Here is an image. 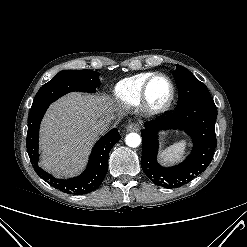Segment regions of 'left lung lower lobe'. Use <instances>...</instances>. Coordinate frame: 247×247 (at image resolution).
Here are the masks:
<instances>
[{"label":"left lung lower lobe","mask_w":247,"mask_h":247,"mask_svg":"<svg viewBox=\"0 0 247 247\" xmlns=\"http://www.w3.org/2000/svg\"><path fill=\"white\" fill-rule=\"evenodd\" d=\"M217 109L214 101L200 102L145 123L142 135L141 167L148 178L158 186L176 188L187 184L202 173L212 160L217 140L215 121ZM179 129L193 140L191 154L179 165L162 167L157 162L158 131Z\"/></svg>","instance_id":"1"}]
</instances>
